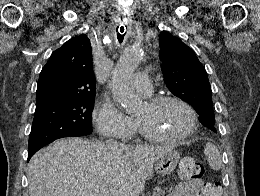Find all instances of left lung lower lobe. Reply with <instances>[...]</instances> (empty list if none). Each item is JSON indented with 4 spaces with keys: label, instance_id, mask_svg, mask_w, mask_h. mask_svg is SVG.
Masks as SVG:
<instances>
[{
    "label": "left lung lower lobe",
    "instance_id": "left-lung-lower-lobe-1",
    "mask_svg": "<svg viewBox=\"0 0 260 196\" xmlns=\"http://www.w3.org/2000/svg\"><path fill=\"white\" fill-rule=\"evenodd\" d=\"M199 116H200V121L202 122L203 125H207L208 123H211L212 121H214V118L215 117H212V116H207V115H203L201 113H199Z\"/></svg>",
    "mask_w": 260,
    "mask_h": 196
}]
</instances>
